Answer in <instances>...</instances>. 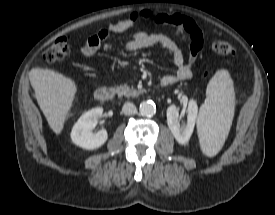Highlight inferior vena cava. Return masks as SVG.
<instances>
[{"label":"inferior vena cava","mask_w":275,"mask_h":215,"mask_svg":"<svg viewBox=\"0 0 275 215\" xmlns=\"http://www.w3.org/2000/svg\"><path fill=\"white\" fill-rule=\"evenodd\" d=\"M122 112L125 115H132L135 114L137 112L136 106L131 103V102H126L124 103L123 107H122Z\"/></svg>","instance_id":"1"}]
</instances>
